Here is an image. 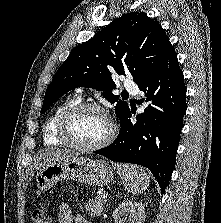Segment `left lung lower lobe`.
Listing matches in <instances>:
<instances>
[{"instance_id":"0a47b994","label":"left lung lower lobe","mask_w":221,"mask_h":223,"mask_svg":"<svg viewBox=\"0 0 221 223\" xmlns=\"http://www.w3.org/2000/svg\"><path fill=\"white\" fill-rule=\"evenodd\" d=\"M150 102L132 124L128 109L120 119L118 137L109 146L94 151L113 162L147 167L165 192L176 163V152L186 113L183 73L172 47L152 74L139 85Z\"/></svg>"}]
</instances>
